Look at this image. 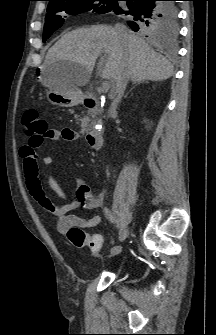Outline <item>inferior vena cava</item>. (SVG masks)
<instances>
[{"label":"inferior vena cava","mask_w":216,"mask_h":335,"mask_svg":"<svg viewBox=\"0 0 216 335\" xmlns=\"http://www.w3.org/2000/svg\"><path fill=\"white\" fill-rule=\"evenodd\" d=\"M115 30L117 31L119 37H125L127 35V31L125 29V26L122 24H116ZM129 80V75L127 72H124L120 78L116 82V97L113 100L111 107H110V115H113L116 113L117 105L121 101L124 91L126 89L127 83Z\"/></svg>","instance_id":"obj_1"}]
</instances>
